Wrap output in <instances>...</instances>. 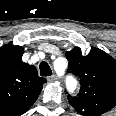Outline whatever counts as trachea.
Here are the masks:
<instances>
[{
    "instance_id": "obj_1",
    "label": "trachea",
    "mask_w": 116,
    "mask_h": 116,
    "mask_svg": "<svg viewBox=\"0 0 116 116\" xmlns=\"http://www.w3.org/2000/svg\"><path fill=\"white\" fill-rule=\"evenodd\" d=\"M40 68V75L41 76H50L52 75V70L49 67L48 63L45 61H42L39 65Z\"/></svg>"
}]
</instances>
